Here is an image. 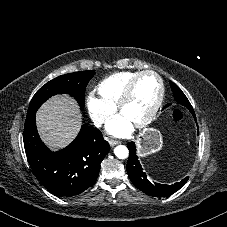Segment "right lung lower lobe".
Wrapping results in <instances>:
<instances>
[{
    "label": "right lung lower lobe",
    "instance_id": "right-lung-lower-lobe-1",
    "mask_svg": "<svg viewBox=\"0 0 227 227\" xmlns=\"http://www.w3.org/2000/svg\"><path fill=\"white\" fill-rule=\"evenodd\" d=\"M36 113L27 115L24 147L28 162L42 185L57 196H74L93 186L100 164L110 146L102 133L83 125L76 139L66 148L52 152L41 141Z\"/></svg>",
    "mask_w": 227,
    "mask_h": 227
}]
</instances>
